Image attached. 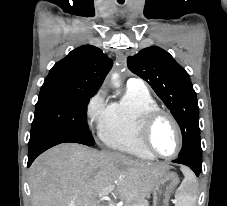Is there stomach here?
Masks as SVG:
<instances>
[{
	"label": "stomach",
	"mask_w": 227,
	"mask_h": 206,
	"mask_svg": "<svg viewBox=\"0 0 227 206\" xmlns=\"http://www.w3.org/2000/svg\"><path fill=\"white\" fill-rule=\"evenodd\" d=\"M179 183L178 175L174 172H166L155 183L153 194V206H168L171 193Z\"/></svg>",
	"instance_id": "1"
}]
</instances>
